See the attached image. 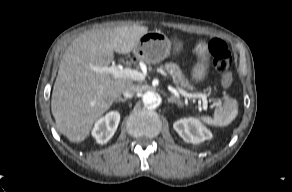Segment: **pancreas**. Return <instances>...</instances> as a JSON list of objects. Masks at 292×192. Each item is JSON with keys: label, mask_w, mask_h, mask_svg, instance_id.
I'll list each match as a JSON object with an SVG mask.
<instances>
[{"label": "pancreas", "mask_w": 292, "mask_h": 192, "mask_svg": "<svg viewBox=\"0 0 292 192\" xmlns=\"http://www.w3.org/2000/svg\"><path fill=\"white\" fill-rule=\"evenodd\" d=\"M160 69H165L170 75H172L174 82L177 85H180L181 88L192 89V87L189 85V81L177 64L169 62L164 66L161 65Z\"/></svg>", "instance_id": "pancreas-1"}]
</instances>
